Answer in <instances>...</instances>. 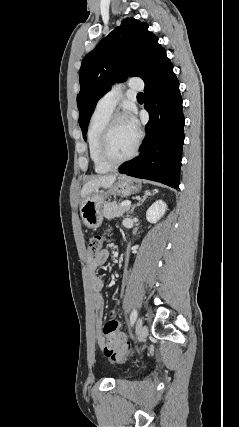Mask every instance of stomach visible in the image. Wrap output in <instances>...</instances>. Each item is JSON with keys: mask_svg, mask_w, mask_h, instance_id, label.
Listing matches in <instances>:
<instances>
[{"mask_svg": "<svg viewBox=\"0 0 239 427\" xmlns=\"http://www.w3.org/2000/svg\"><path fill=\"white\" fill-rule=\"evenodd\" d=\"M140 189L141 186L135 179L124 176L119 178L106 193L95 191L88 195L80 205V215L84 224L92 229L101 226L103 221L102 206L107 194L126 197L138 193Z\"/></svg>", "mask_w": 239, "mask_h": 427, "instance_id": "stomach-1", "label": "stomach"}]
</instances>
